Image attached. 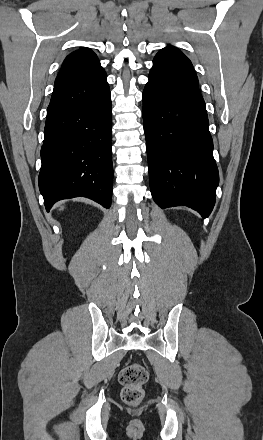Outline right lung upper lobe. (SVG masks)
<instances>
[{"mask_svg": "<svg viewBox=\"0 0 263 440\" xmlns=\"http://www.w3.org/2000/svg\"><path fill=\"white\" fill-rule=\"evenodd\" d=\"M103 68L96 54L90 49H80L69 54L55 80L54 89L94 75Z\"/></svg>", "mask_w": 263, "mask_h": 440, "instance_id": "right-lung-upper-lobe-1", "label": "right lung upper lobe"}]
</instances>
